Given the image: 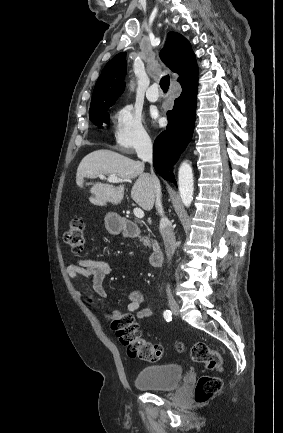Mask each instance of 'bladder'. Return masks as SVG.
I'll return each instance as SVG.
<instances>
[{"mask_svg":"<svg viewBox=\"0 0 283 433\" xmlns=\"http://www.w3.org/2000/svg\"><path fill=\"white\" fill-rule=\"evenodd\" d=\"M183 373L184 368L180 364L142 367L134 385L146 390L165 392L178 385Z\"/></svg>","mask_w":283,"mask_h":433,"instance_id":"obj_1","label":"bladder"}]
</instances>
